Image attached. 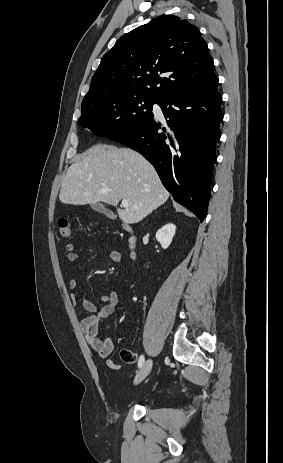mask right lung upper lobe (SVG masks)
Segmentation results:
<instances>
[{"instance_id":"obj_1","label":"right lung upper lobe","mask_w":283,"mask_h":463,"mask_svg":"<svg viewBox=\"0 0 283 463\" xmlns=\"http://www.w3.org/2000/svg\"><path fill=\"white\" fill-rule=\"evenodd\" d=\"M214 78L213 60L198 28L185 19L164 16L119 38L103 56L82 105L111 95L159 101Z\"/></svg>"}]
</instances>
